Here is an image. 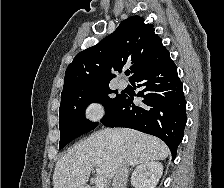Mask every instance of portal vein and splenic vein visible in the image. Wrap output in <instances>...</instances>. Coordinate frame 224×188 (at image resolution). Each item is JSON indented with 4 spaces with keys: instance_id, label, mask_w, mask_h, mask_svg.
Segmentation results:
<instances>
[{
    "instance_id": "1",
    "label": "portal vein and splenic vein",
    "mask_w": 224,
    "mask_h": 188,
    "mask_svg": "<svg viewBox=\"0 0 224 188\" xmlns=\"http://www.w3.org/2000/svg\"><path fill=\"white\" fill-rule=\"evenodd\" d=\"M91 170H92V168H85V169H81L78 171H74L72 174L78 175L85 171H91ZM95 184H96L97 188H107L108 180L106 179V177L98 175L95 178Z\"/></svg>"
}]
</instances>
